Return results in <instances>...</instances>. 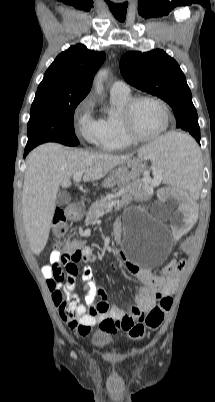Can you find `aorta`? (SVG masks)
I'll return each instance as SVG.
<instances>
[{"label": "aorta", "mask_w": 215, "mask_h": 402, "mask_svg": "<svg viewBox=\"0 0 215 402\" xmlns=\"http://www.w3.org/2000/svg\"><path fill=\"white\" fill-rule=\"evenodd\" d=\"M107 74L108 71L106 69H101L95 76L94 84L98 93H100L102 90V82L104 78L107 76Z\"/></svg>", "instance_id": "obj_1"}]
</instances>
